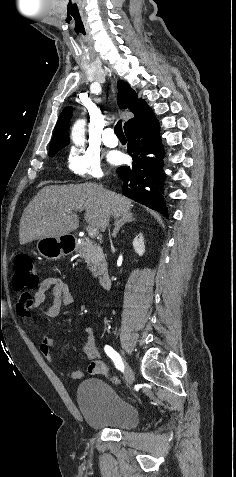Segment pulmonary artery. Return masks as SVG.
Segmentation results:
<instances>
[{
  "instance_id": "e3ab8cb5",
  "label": "pulmonary artery",
  "mask_w": 236,
  "mask_h": 477,
  "mask_svg": "<svg viewBox=\"0 0 236 477\" xmlns=\"http://www.w3.org/2000/svg\"><path fill=\"white\" fill-rule=\"evenodd\" d=\"M103 142L108 147H116L118 145V139L112 128H106L103 130Z\"/></svg>"
}]
</instances>
